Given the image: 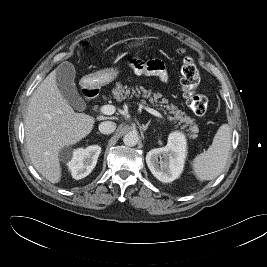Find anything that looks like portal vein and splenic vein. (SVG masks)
<instances>
[{"instance_id": "18ae733b", "label": "portal vein and splenic vein", "mask_w": 267, "mask_h": 267, "mask_svg": "<svg viewBox=\"0 0 267 267\" xmlns=\"http://www.w3.org/2000/svg\"><path fill=\"white\" fill-rule=\"evenodd\" d=\"M140 109H144L146 110L148 113L152 114L153 116H156L158 118H163L162 114L158 111H156L153 108L147 107V106H143L142 104H138ZM101 113L105 114V115H112L116 112V107L114 105H103L100 108Z\"/></svg>"}]
</instances>
